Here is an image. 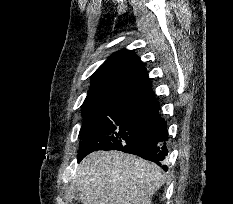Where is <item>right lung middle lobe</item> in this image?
Segmentation results:
<instances>
[{
  "label": "right lung middle lobe",
  "mask_w": 233,
  "mask_h": 204,
  "mask_svg": "<svg viewBox=\"0 0 233 204\" xmlns=\"http://www.w3.org/2000/svg\"><path fill=\"white\" fill-rule=\"evenodd\" d=\"M166 129L152 101H130L110 105L84 117L81 146L116 150Z\"/></svg>",
  "instance_id": "right-lung-middle-lobe-1"
}]
</instances>
